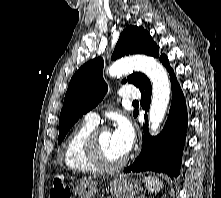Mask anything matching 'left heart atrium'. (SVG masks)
Segmentation results:
<instances>
[{
  "mask_svg": "<svg viewBox=\"0 0 221 198\" xmlns=\"http://www.w3.org/2000/svg\"><path fill=\"white\" fill-rule=\"evenodd\" d=\"M111 136L115 147L121 154L126 155L130 151L135 138L132 125L125 119L119 120Z\"/></svg>",
  "mask_w": 221,
  "mask_h": 198,
  "instance_id": "39dd6f15",
  "label": "left heart atrium"
}]
</instances>
